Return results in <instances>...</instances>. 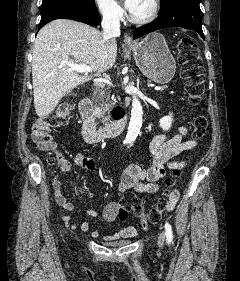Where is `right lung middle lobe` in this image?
I'll list each match as a JSON object with an SVG mask.
<instances>
[{
  "label": "right lung middle lobe",
  "mask_w": 240,
  "mask_h": 281,
  "mask_svg": "<svg viewBox=\"0 0 240 281\" xmlns=\"http://www.w3.org/2000/svg\"><path fill=\"white\" fill-rule=\"evenodd\" d=\"M57 7H73L87 11L97 10L94 0H43L41 14Z\"/></svg>",
  "instance_id": "dd1d6c3e"
}]
</instances>
